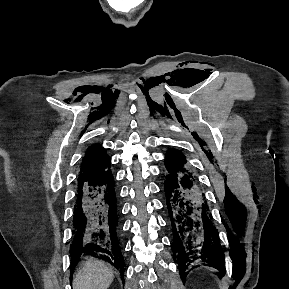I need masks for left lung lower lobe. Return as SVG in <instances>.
Wrapping results in <instances>:
<instances>
[{
    "mask_svg": "<svg viewBox=\"0 0 289 289\" xmlns=\"http://www.w3.org/2000/svg\"><path fill=\"white\" fill-rule=\"evenodd\" d=\"M164 192L173 229V253L184 281L188 265L196 259L223 260L218 231L213 225L207 201L185 156L168 150L165 156ZM211 266L224 271V266Z\"/></svg>",
    "mask_w": 289,
    "mask_h": 289,
    "instance_id": "0a47b994",
    "label": "left lung lower lobe"
}]
</instances>
